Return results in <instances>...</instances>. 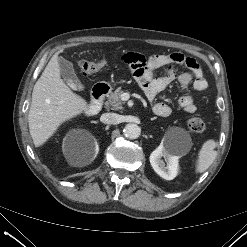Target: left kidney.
<instances>
[{
    "label": "left kidney",
    "mask_w": 247,
    "mask_h": 247,
    "mask_svg": "<svg viewBox=\"0 0 247 247\" xmlns=\"http://www.w3.org/2000/svg\"><path fill=\"white\" fill-rule=\"evenodd\" d=\"M164 158V160L162 159ZM179 158L175 150L162 142L150 155V163L154 171L165 180L174 179L179 170Z\"/></svg>",
    "instance_id": "5707ae66"
}]
</instances>
